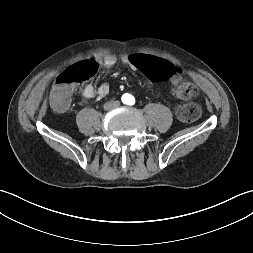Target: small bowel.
I'll return each instance as SVG.
<instances>
[{"label": "small bowel", "instance_id": "c3829d8e", "mask_svg": "<svg viewBox=\"0 0 253 253\" xmlns=\"http://www.w3.org/2000/svg\"><path fill=\"white\" fill-rule=\"evenodd\" d=\"M130 55L131 54H128L122 58L123 63L127 64L134 70H141L139 67L130 62ZM100 60L105 67H112L117 61L116 57L110 53L103 55ZM163 78H169L170 82L176 86L181 82L182 75L180 72L174 69V72L170 76ZM109 91L110 87L107 83H103L98 87H95L93 84H87L82 90V95L87 99L93 98L95 96L104 97L109 93Z\"/></svg>", "mask_w": 253, "mask_h": 253}]
</instances>
